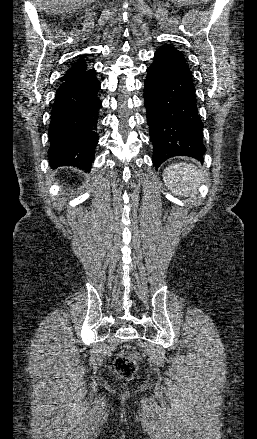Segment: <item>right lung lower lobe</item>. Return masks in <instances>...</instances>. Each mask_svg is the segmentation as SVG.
<instances>
[{"label":"right lung lower lobe","mask_w":257,"mask_h":439,"mask_svg":"<svg viewBox=\"0 0 257 439\" xmlns=\"http://www.w3.org/2000/svg\"><path fill=\"white\" fill-rule=\"evenodd\" d=\"M100 82L94 69L62 82L56 92L49 127V164L89 171L98 143Z\"/></svg>","instance_id":"1"}]
</instances>
